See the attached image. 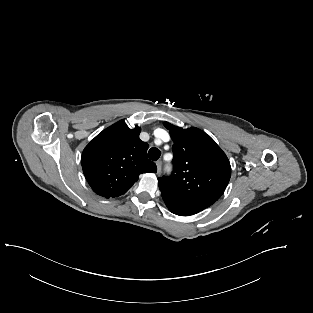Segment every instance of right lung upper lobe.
<instances>
[{
  "mask_svg": "<svg viewBox=\"0 0 313 313\" xmlns=\"http://www.w3.org/2000/svg\"><path fill=\"white\" fill-rule=\"evenodd\" d=\"M141 128L119 121L99 133L83 150V173L92 190L105 198L124 194L147 172H156L147 156L148 144L139 138Z\"/></svg>",
  "mask_w": 313,
  "mask_h": 313,
  "instance_id": "right-lung-upper-lobe-1",
  "label": "right lung upper lobe"
}]
</instances>
